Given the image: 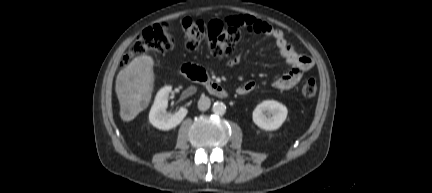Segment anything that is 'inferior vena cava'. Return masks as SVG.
Segmentation results:
<instances>
[{
    "mask_svg": "<svg viewBox=\"0 0 432 193\" xmlns=\"http://www.w3.org/2000/svg\"><path fill=\"white\" fill-rule=\"evenodd\" d=\"M210 105H211L210 99L202 95L198 101V109L201 111H206L207 109H209Z\"/></svg>",
    "mask_w": 432,
    "mask_h": 193,
    "instance_id": "obj_1",
    "label": "inferior vena cava"
}]
</instances>
